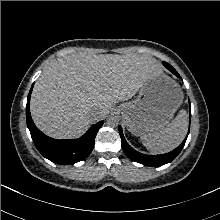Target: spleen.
<instances>
[{"label":"spleen","instance_id":"3e777b00","mask_svg":"<svg viewBox=\"0 0 220 220\" xmlns=\"http://www.w3.org/2000/svg\"><path fill=\"white\" fill-rule=\"evenodd\" d=\"M188 130V116L180 110L176 118L166 128L140 137L143 145L154 153H165L176 148Z\"/></svg>","mask_w":220,"mask_h":220}]
</instances>
